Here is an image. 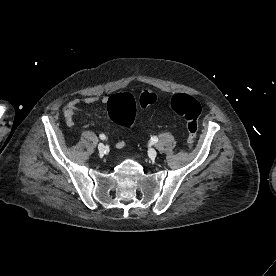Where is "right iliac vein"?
<instances>
[{"mask_svg": "<svg viewBox=\"0 0 276 276\" xmlns=\"http://www.w3.org/2000/svg\"><path fill=\"white\" fill-rule=\"evenodd\" d=\"M98 150L100 153H103L105 151V146L103 143L98 144Z\"/></svg>", "mask_w": 276, "mask_h": 276, "instance_id": "right-iliac-vein-1", "label": "right iliac vein"}]
</instances>
